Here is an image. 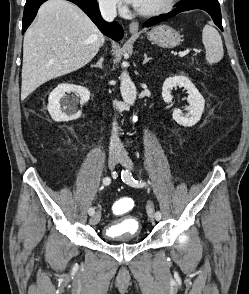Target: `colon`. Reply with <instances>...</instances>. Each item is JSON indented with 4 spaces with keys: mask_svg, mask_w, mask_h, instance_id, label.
<instances>
[{
    "mask_svg": "<svg viewBox=\"0 0 249 294\" xmlns=\"http://www.w3.org/2000/svg\"><path fill=\"white\" fill-rule=\"evenodd\" d=\"M134 207V201L131 198H121L113 206V212L116 215H122L131 211Z\"/></svg>",
    "mask_w": 249,
    "mask_h": 294,
    "instance_id": "1",
    "label": "colon"
}]
</instances>
